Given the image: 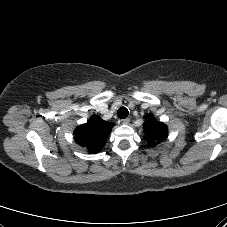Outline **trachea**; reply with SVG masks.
Segmentation results:
<instances>
[{
    "label": "trachea",
    "mask_w": 227,
    "mask_h": 227,
    "mask_svg": "<svg viewBox=\"0 0 227 227\" xmlns=\"http://www.w3.org/2000/svg\"><path fill=\"white\" fill-rule=\"evenodd\" d=\"M129 112H128V109L126 107H120L117 111V116L120 118V119H124L128 116Z\"/></svg>",
    "instance_id": "1"
}]
</instances>
